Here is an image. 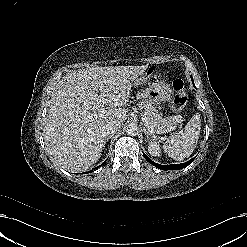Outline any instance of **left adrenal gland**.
<instances>
[{
  "instance_id": "a2214340",
  "label": "left adrenal gland",
  "mask_w": 247,
  "mask_h": 247,
  "mask_svg": "<svg viewBox=\"0 0 247 247\" xmlns=\"http://www.w3.org/2000/svg\"><path fill=\"white\" fill-rule=\"evenodd\" d=\"M144 132H145V135H146V140L148 141L150 133L147 130V128H145V127H144Z\"/></svg>"
}]
</instances>
